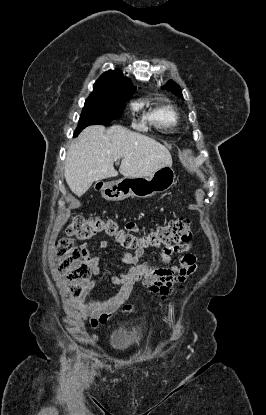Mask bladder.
<instances>
[{
  "label": "bladder",
  "mask_w": 266,
  "mask_h": 415,
  "mask_svg": "<svg viewBox=\"0 0 266 415\" xmlns=\"http://www.w3.org/2000/svg\"><path fill=\"white\" fill-rule=\"evenodd\" d=\"M143 335L141 328L132 323L125 322L120 324L111 334V348L118 353H125L133 347L139 345Z\"/></svg>",
  "instance_id": "bladder-1"
}]
</instances>
